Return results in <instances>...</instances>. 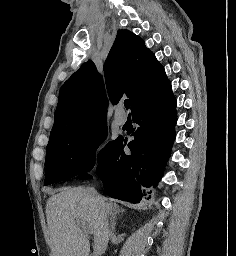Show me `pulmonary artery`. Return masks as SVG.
Wrapping results in <instances>:
<instances>
[{"label":"pulmonary artery","mask_w":236,"mask_h":256,"mask_svg":"<svg viewBox=\"0 0 236 256\" xmlns=\"http://www.w3.org/2000/svg\"><path fill=\"white\" fill-rule=\"evenodd\" d=\"M126 122V120H119L118 118H115V123L118 124V125H124Z\"/></svg>","instance_id":"e3ab8cb5"}]
</instances>
